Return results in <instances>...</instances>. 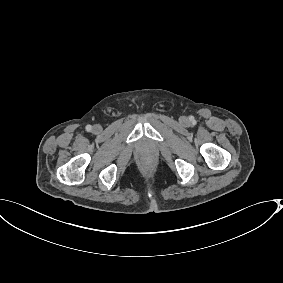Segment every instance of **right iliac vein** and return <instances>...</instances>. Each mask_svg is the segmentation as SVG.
<instances>
[{
  "label": "right iliac vein",
  "instance_id": "obj_1",
  "mask_svg": "<svg viewBox=\"0 0 283 283\" xmlns=\"http://www.w3.org/2000/svg\"><path fill=\"white\" fill-rule=\"evenodd\" d=\"M92 130H93L94 133H98V132L101 131V126L99 124H96V125L93 126Z\"/></svg>",
  "mask_w": 283,
  "mask_h": 283
}]
</instances>
